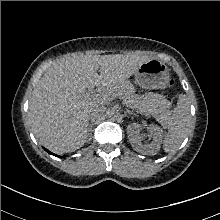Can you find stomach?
Masks as SVG:
<instances>
[{
    "label": "stomach",
    "mask_w": 220,
    "mask_h": 220,
    "mask_svg": "<svg viewBox=\"0 0 220 220\" xmlns=\"http://www.w3.org/2000/svg\"><path fill=\"white\" fill-rule=\"evenodd\" d=\"M134 76L137 84L146 89H164L170 78L168 67L157 59H151L141 64L134 73ZM154 100H159V96L149 94L141 104L134 105V107L145 111H152L149 103Z\"/></svg>",
    "instance_id": "1"
}]
</instances>
